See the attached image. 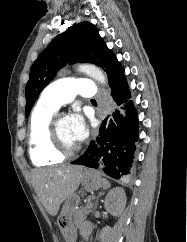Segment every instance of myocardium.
<instances>
[{"mask_svg": "<svg viewBox=\"0 0 187 242\" xmlns=\"http://www.w3.org/2000/svg\"><path fill=\"white\" fill-rule=\"evenodd\" d=\"M61 118H65L64 114L62 113H55L48 125V130H47V135H48V143L49 146L51 148V150L63 157V158H67V157H71L73 155H75L79 150H80V145H77L76 147L72 148V149H64L58 140V135H57V124L58 121Z\"/></svg>", "mask_w": 187, "mask_h": 242, "instance_id": "obj_1", "label": "myocardium"}]
</instances>
